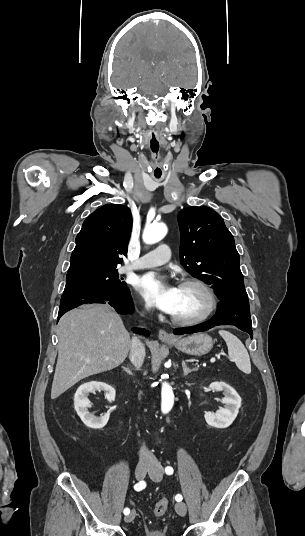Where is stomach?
<instances>
[{"instance_id":"stomach-1","label":"stomach","mask_w":305,"mask_h":536,"mask_svg":"<svg viewBox=\"0 0 305 536\" xmlns=\"http://www.w3.org/2000/svg\"><path fill=\"white\" fill-rule=\"evenodd\" d=\"M170 344H173L180 352L190 354V356H204L213 348V340L207 334H193V336L182 338V340L176 338V340H170Z\"/></svg>"}]
</instances>
